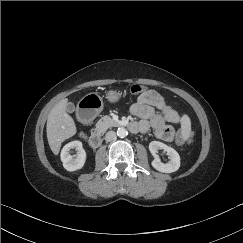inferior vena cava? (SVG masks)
<instances>
[{
  "instance_id": "obj_1",
  "label": "inferior vena cava",
  "mask_w": 243,
  "mask_h": 243,
  "mask_svg": "<svg viewBox=\"0 0 243 243\" xmlns=\"http://www.w3.org/2000/svg\"><path fill=\"white\" fill-rule=\"evenodd\" d=\"M116 139V133L114 131H108L105 135V140L107 142L113 141Z\"/></svg>"
}]
</instances>
